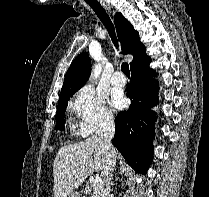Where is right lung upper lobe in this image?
<instances>
[{"label":"right lung upper lobe","mask_w":209,"mask_h":197,"mask_svg":"<svg viewBox=\"0 0 209 197\" xmlns=\"http://www.w3.org/2000/svg\"><path fill=\"white\" fill-rule=\"evenodd\" d=\"M114 23L117 35L121 42L124 54H132L133 61L130 63L132 68L139 62L148 58L146 49L139 39V34L134 30L131 23L123 17L121 13H116ZM91 72V60L87 53H81L68 69L61 89L60 97H63L71 90L81 88L88 80Z\"/></svg>","instance_id":"obj_1"}]
</instances>
